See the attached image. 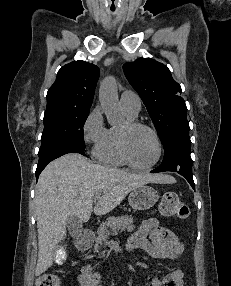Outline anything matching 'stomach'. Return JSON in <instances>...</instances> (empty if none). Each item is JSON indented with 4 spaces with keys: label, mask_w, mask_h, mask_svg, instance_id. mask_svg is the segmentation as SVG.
Here are the masks:
<instances>
[{
    "label": "stomach",
    "mask_w": 231,
    "mask_h": 286,
    "mask_svg": "<svg viewBox=\"0 0 231 286\" xmlns=\"http://www.w3.org/2000/svg\"><path fill=\"white\" fill-rule=\"evenodd\" d=\"M158 199V192L148 185H142L133 189L128 197L129 204L134 210L150 209Z\"/></svg>",
    "instance_id": "stomach-1"
}]
</instances>
